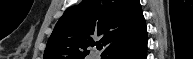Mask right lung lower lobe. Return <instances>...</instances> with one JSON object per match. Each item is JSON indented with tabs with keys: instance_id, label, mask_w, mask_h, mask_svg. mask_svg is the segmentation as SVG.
<instances>
[{
	"instance_id": "right-lung-lower-lobe-1",
	"label": "right lung lower lobe",
	"mask_w": 193,
	"mask_h": 59,
	"mask_svg": "<svg viewBox=\"0 0 193 59\" xmlns=\"http://www.w3.org/2000/svg\"><path fill=\"white\" fill-rule=\"evenodd\" d=\"M147 32L142 33L138 38L122 46L106 59H146Z\"/></svg>"
}]
</instances>
